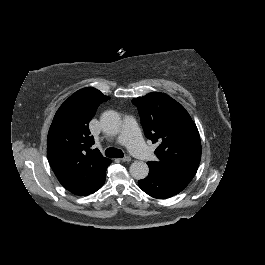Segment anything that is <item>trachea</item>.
Listing matches in <instances>:
<instances>
[{"mask_svg":"<svg viewBox=\"0 0 265 265\" xmlns=\"http://www.w3.org/2000/svg\"><path fill=\"white\" fill-rule=\"evenodd\" d=\"M105 155L109 158H122L124 153L120 149L107 148L105 150Z\"/></svg>","mask_w":265,"mask_h":265,"instance_id":"3493384b","label":"trachea"}]
</instances>
